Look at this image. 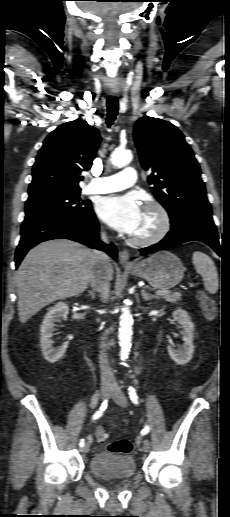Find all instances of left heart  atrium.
Returning <instances> with one entry per match:
<instances>
[{
    "label": "left heart atrium",
    "instance_id": "39dd6f15",
    "mask_svg": "<svg viewBox=\"0 0 230 517\" xmlns=\"http://www.w3.org/2000/svg\"><path fill=\"white\" fill-rule=\"evenodd\" d=\"M143 209L134 195L110 196L97 204L98 216L116 230L133 234L140 225Z\"/></svg>",
    "mask_w": 230,
    "mask_h": 517
}]
</instances>
